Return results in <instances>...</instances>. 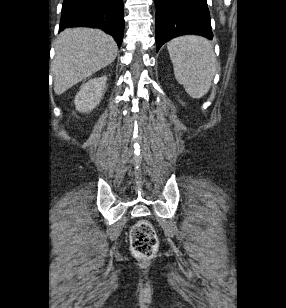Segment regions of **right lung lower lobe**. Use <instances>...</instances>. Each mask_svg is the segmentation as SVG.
I'll return each mask as SVG.
<instances>
[{"label": "right lung lower lobe", "mask_w": 286, "mask_h": 308, "mask_svg": "<svg viewBox=\"0 0 286 308\" xmlns=\"http://www.w3.org/2000/svg\"><path fill=\"white\" fill-rule=\"evenodd\" d=\"M67 27L102 29L120 47L124 32L123 0H64L59 31Z\"/></svg>", "instance_id": "obj_1"}]
</instances>
